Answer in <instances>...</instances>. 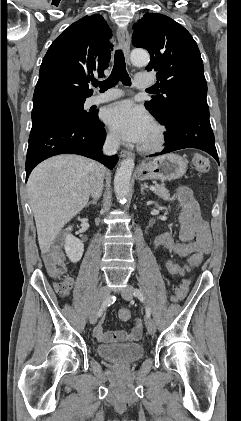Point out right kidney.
<instances>
[{
	"instance_id": "ca27d5eb",
	"label": "right kidney",
	"mask_w": 241,
	"mask_h": 421,
	"mask_svg": "<svg viewBox=\"0 0 241 421\" xmlns=\"http://www.w3.org/2000/svg\"><path fill=\"white\" fill-rule=\"evenodd\" d=\"M71 230V226L67 228V231ZM64 249L70 261L77 263L82 258L84 252V244L81 240L74 237L72 234H66Z\"/></svg>"
}]
</instances>
